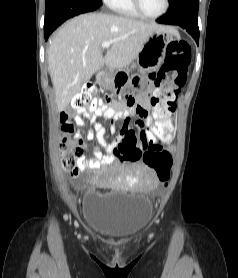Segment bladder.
Listing matches in <instances>:
<instances>
[{
  "instance_id": "obj_1",
  "label": "bladder",
  "mask_w": 238,
  "mask_h": 278,
  "mask_svg": "<svg viewBox=\"0 0 238 278\" xmlns=\"http://www.w3.org/2000/svg\"><path fill=\"white\" fill-rule=\"evenodd\" d=\"M152 217V203L146 196L124 190L90 194L83 204L85 226L112 239L139 234L148 226Z\"/></svg>"
}]
</instances>
